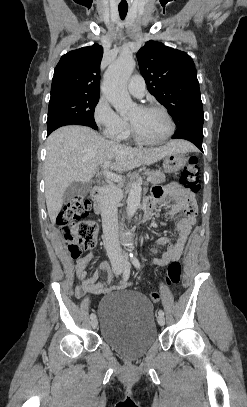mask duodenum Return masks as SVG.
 <instances>
[{"label":"duodenum","instance_id":"obj_1","mask_svg":"<svg viewBox=\"0 0 247 407\" xmlns=\"http://www.w3.org/2000/svg\"><path fill=\"white\" fill-rule=\"evenodd\" d=\"M103 187H104V181L98 180L95 182L92 192H91L93 210L97 215H99L101 217H104L105 212H106V206L104 205V202L101 198ZM152 207L153 206L149 203H147L144 206L143 213H142V221H145L149 217Z\"/></svg>","mask_w":247,"mask_h":407}]
</instances>
